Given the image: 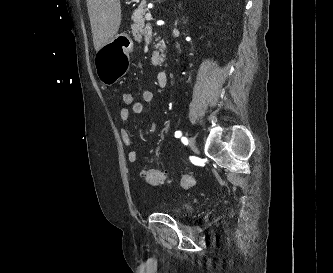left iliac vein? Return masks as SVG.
I'll use <instances>...</instances> for the list:
<instances>
[{
  "mask_svg": "<svg viewBox=\"0 0 333 273\" xmlns=\"http://www.w3.org/2000/svg\"><path fill=\"white\" fill-rule=\"evenodd\" d=\"M188 144H189L190 148H192V149L196 148V142H195V139L193 137L188 138Z\"/></svg>",
  "mask_w": 333,
  "mask_h": 273,
  "instance_id": "obj_1",
  "label": "left iliac vein"
}]
</instances>
